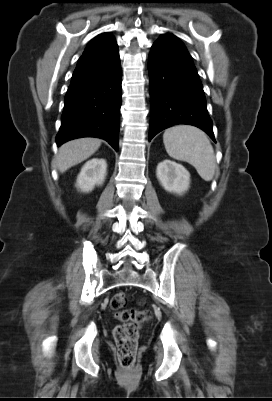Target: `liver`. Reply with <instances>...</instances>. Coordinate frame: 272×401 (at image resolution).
<instances>
[{
	"label": "liver",
	"mask_w": 272,
	"mask_h": 401,
	"mask_svg": "<svg viewBox=\"0 0 272 401\" xmlns=\"http://www.w3.org/2000/svg\"><path fill=\"white\" fill-rule=\"evenodd\" d=\"M101 140L97 138H80L63 144L56 157V166L61 173L83 162L93 155L100 147Z\"/></svg>",
	"instance_id": "liver-1"
}]
</instances>
